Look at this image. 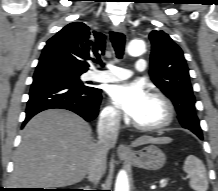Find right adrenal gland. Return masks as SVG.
I'll return each instance as SVG.
<instances>
[{
    "label": "right adrenal gland",
    "mask_w": 218,
    "mask_h": 191,
    "mask_svg": "<svg viewBox=\"0 0 218 191\" xmlns=\"http://www.w3.org/2000/svg\"><path fill=\"white\" fill-rule=\"evenodd\" d=\"M84 190H90V188L87 187V188H85Z\"/></svg>",
    "instance_id": "obj_1"
}]
</instances>
